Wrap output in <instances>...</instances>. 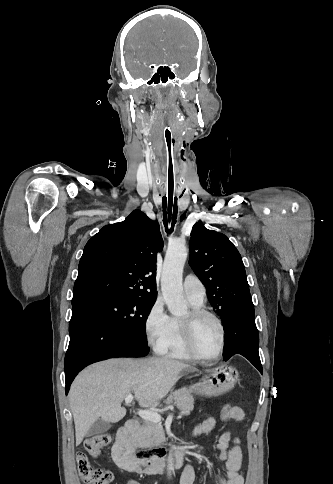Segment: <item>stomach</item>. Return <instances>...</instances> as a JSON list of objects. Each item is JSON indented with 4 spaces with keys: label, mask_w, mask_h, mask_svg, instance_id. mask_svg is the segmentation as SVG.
Listing matches in <instances>:
<instances>
[{
    "label": "stomach",
    "mask_w": 333,
    "mask_h": 484,
    "mask_svg": "<svg viewBox=\"0 0 333 484\" xmlns=\"http://www.w3.org/2000/svg\"><path fill=\"white\" fill-rule=\"evenodd\" d=\"M238 379V371L234 366L222 364L205 373L203 379L191 386L190 390L209 397H219L231 391Z\"/></svg>",
    "instance_id": "0dacf381"
}]
</instances>
